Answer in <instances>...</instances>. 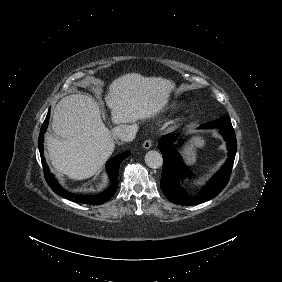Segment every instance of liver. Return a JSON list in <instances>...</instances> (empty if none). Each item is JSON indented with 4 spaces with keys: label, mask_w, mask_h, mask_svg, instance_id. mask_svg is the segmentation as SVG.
Wrapping results in <instances>:
<instances>
[{
    "label": "liver",
    "mask_w": 282,
    "mask_h": 282,
    "mask_svg": "<svg viewBox=\"0 0 282 282\" xmlns=\"http://www.w3.org/2000/svg\"><path fill=\"white\" fill-rule=\"evenodd\" d=\"M177 83L163 76L125 72L106 86L103 99L112 125L154 119L169 105ZM52 129L60 137L46 136L53 169L68 179L82 181L95 176L115 151L113 130L106 127L97 107L87 96L63 97L53 113Z\"/></svg>",
    "instance_id": "obj_1"
}]
</instances>
